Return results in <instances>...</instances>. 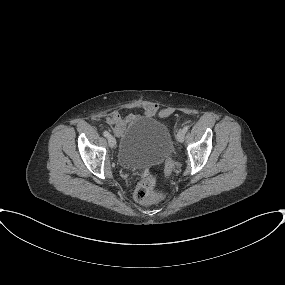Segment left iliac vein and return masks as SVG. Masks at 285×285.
Returning <instances> with one entry per match:
<instances>
[{
  "label": "left iliac vein",
  "mask_w": 285,
  "mask_h": 285,
  "mask_svg": "<svg viewBox=\"0 0 285 285\" xmlns=\"http://www.w3.org/2000/svg\"><path fill=\"white\" fill-rule=\"evenodd\" d=\"M184 138H185V132L183 130H180L178 133H177V140L179 142H183L184 141Z\"/></svg>",
  "instance_id": "left-iliac-vein-1"
}]
</instances>
